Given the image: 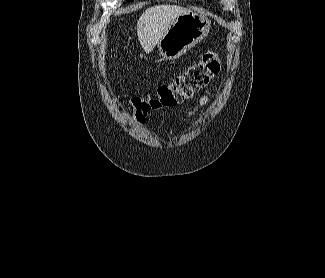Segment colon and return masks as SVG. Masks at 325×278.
<instances>
[{
  "label": "colon",
  "mask_w": 325,
  "mask_h": 278,
  "mask_svg": "<svg viewBox=\"0 0 325 278\" xmlns=\"http://www.w3.org/2000/svg\"><path fill=\"white\" fill-rule=\"evenodd\" d=\"M221 69L217 53L209 51L183 74L168 83L161 84L154 93L146 97H135L131 101L135 118L143 122L152 111L170 108L190 99L206 87Z\"/></svg>",
  "instance_id": "obj_1"
}]
</instances>
